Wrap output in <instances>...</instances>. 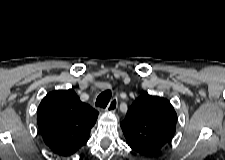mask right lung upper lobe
I'll list each match as a JSON object with an SVG mask.
<instances>
[{"label":"right lung upper lobe","instance_id":"obj_1","mask_svg":"<svg viewBox=\"0 0 225 160\" xmlns=\"http://www.w3.org/2000/svg\"><path fill=\"white\" fill-rule=\"evenodd\" d=\"M37 116L45 144L55 154L67 157L87 143L98 112L69 89L48 93L38 107Z\"/></svg>","mask_w":225,"mask_h":160}]
</instances>
